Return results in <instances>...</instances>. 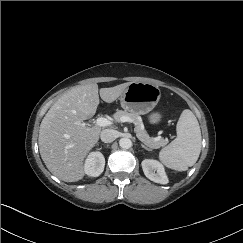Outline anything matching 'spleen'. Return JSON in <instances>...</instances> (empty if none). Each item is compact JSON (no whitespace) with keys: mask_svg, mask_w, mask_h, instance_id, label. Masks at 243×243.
Returning <instances> with one entry per match:
<instances>
[{"mask_svg":"<svg viewBox=\"0 0 243 243\" xmlns=\"http://www.w3.org/2000/svg\"><path fill=\"white\" fill-rule=\"evenodd\" d=\"M176 131L177 137L161 149L159 159L170 169L186 171L196 163L201 152V130L192 111L183 110Z\"/></svg>","mask_w":243,"mask_h":243,"instance_id":"3e777b00","label":"spleen"}]
</instances>
